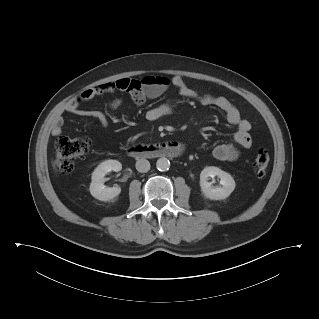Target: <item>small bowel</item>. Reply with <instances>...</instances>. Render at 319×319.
<instances>
[{"label": "small bowel", "mask_w": 319, "mask_h": 319, "mask_svg": "<svg viewBox=\"0 0 319 319\" xmlns=\"http://www.w3.org/2000/svg\"><path fill=\"white\" fill-rule=\"evenodd\" d=\"M128 80L129 79H121L115 82L87 89L83 91L78 97L69 101L65 107V111L69 114L77 116L92 117L105 127L109 123V118L103 111L84 110L82 108V105L93 99L95 96H99L115 90L124 91V86L128 82ZM171 85L175 89H177V91L183 97L193 99L202 105L219 109L224 113L227 122L236 127L233 142L216 146L212 151L214 158L220 161H233L240 157L243 149H247L251 146V123L241 117L240 112L229 99L223 96L201 93L190 87L180 76H174L172 78ZM161 93L155 95H145L141 92H138L137 94L130 96L133 102H135L136 104H141L147 98L157 97ZM121 105L122 99L115 98L110 102L109 107L111 110L114 111L117 110ZM170 113L171 106L169 104L163 103L149 108L146 111L145 117L149 121H157L169 115ZM62 132V121L59 119L52 128V134L54 136H60Z\"/></svg>", "instance_id": "1"}]
</instances>
